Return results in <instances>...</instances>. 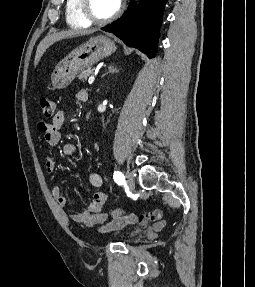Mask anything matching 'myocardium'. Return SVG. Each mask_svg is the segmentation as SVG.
Listing matches in <instances>:
<instances>
[{
  "label": "myocardium",
  "instance_id": "myocardium-1",
  "mask_svg": "<svg viewBox=\"0 0 255 287\" xmlns=\"http://www.w3.org/2000/svg\"><path fill=\"white\" fill-rule=\"evenodd\" d=\"M90 33H96V32H90ZM91 39H95V38H91ZM125 39H131V38H125ZM132 48H141V47H132Z\"/></svg>",
  "mask_w": 255,
  "mask_h": 287
}]
</instances>
